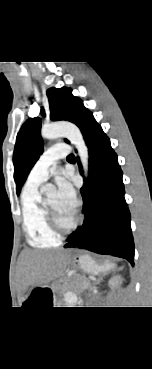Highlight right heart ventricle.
<instances>
[{
    "label": "right heart ventricle",
    "mask_w": 152,
    "mask_h": 369,
    "mask_svg": "<svg viewBox=\"0 0 152 369\" xmlns=\"http://www.w3.org/2000/svg\"><path fill=\"white\" fill-rule=\"evenodd\" d=\"M39 186L26 184L22 195V222L28 244L34 248L56 247L60 242L49 227Z\"/></svg>",
    "instance_id": "right-heart-ventricle-1"
}]
</instances>
